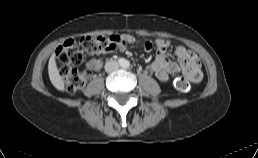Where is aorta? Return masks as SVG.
<instances>
[{
	"label": "aorta",
	"instance_id": "aorta-1",
	"mask_svg": "<svg viewBox=\"0 0 258 158\" xmlns=\"http://www.w3.org/2000/svg\"><path fill=\"white\" fill-rule=\"evenodd\" d=\"M121 66L123 68H128L130 66V63L128 60H123V62L121 63Z\"/></svg>",
	"mask_w": 258,
	"mask_h": 158
}]
</instances>
